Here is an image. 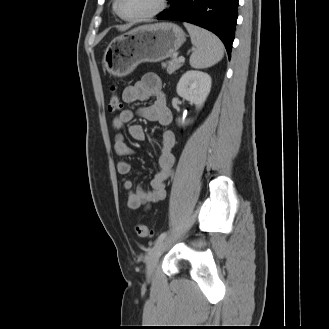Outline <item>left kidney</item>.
I'll return each instance as SVG.
<instances>
[{
    "mask_svg": "<svg viewBox=\"0 0 329 329\" xmlns=\"http://www.w3.org/2000/svg\"><path fill=\"white\" fill-rule=\"evenodd\" d=\"M211 89V77L204 72L190 70L182 75L177 84V94L194 103L200 109ZM180 123V119H178Z\"/></svg>",
    "mask_w": 329,
    "mask_h": 329,
    "instance_id": "obj_1",
    "label": "left kidney"
}]
</instances>
